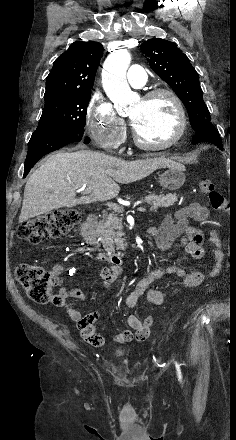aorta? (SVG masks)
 Segmentation results:
<instances>
[{
	"mask_svg": "<svg viewBox=\"0 0 236 440\" xmlns=\"http://www.w3.org/2000/svg\"><path fill=\"white\" fill-rule=\"evenodd\" d=\"M130 62L129 51L120 49L110 54L103 65V88L118 113L127 110L128 105L136 99L126 79Z\"/></svg>",
	"mask_w": 236,
	"mask_h": 440,
	"instance_id": "1",
	"label": "aorta"
}]
</instances>
